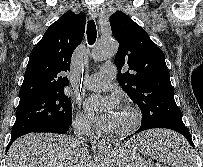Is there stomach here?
Masks as SVG:
<instances>
[{"label": "stomach", "mask_w": 203, "mask_h": 167, "mask_svg": "<svg viewBox=\"0 0 203 167\" xmlns=\"http://www.w3.org/2000/svg\"><path fill=\"white\" fill-rule=\"evenodd\" d=\"M155 131L148 132L142 137H138L128 142L124 148H115L112 151L111 160L113 167H149L148 163L140 156L145 140ZM173 134V133H172ZM143 141V144L135 147V141Z\"/></svg>", "instance_id": "0dacf381"}]
</instances>
